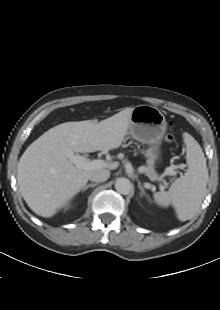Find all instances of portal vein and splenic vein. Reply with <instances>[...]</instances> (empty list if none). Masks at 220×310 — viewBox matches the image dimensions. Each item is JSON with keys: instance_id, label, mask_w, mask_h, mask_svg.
Here are the masks:
<instances>
[{"instance_id": "18ae733b", "label": "portal vein and splenic vein", "mask_w": 220, "mask_h": 310, "mask_svg": "<svg viewBox=\"0 0 220 310\" xmlns=\"http://www.w3.org/2000/svg\"><path fill=\"white\" fill-rule=\"evenodd\" d=\"M69 160L75 164L78 168L83 169V170H94V169H100V168H105L107 166V163L103 160H89L85 156H80L77 154H74L72 151H69L67 153ZM183 165L179 166H173L169 167L166 170V173L169 175H176V171H174L175 168H183Z\"/></svg>"}]
</instances>
